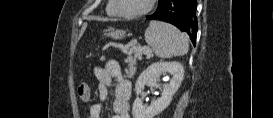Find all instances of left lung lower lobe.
<instances>
[{
	"label": "left lung lower lobe",
	"instance_id": "0a47b994",
	"mask_svg": "<svg viewBox=\"0 0 273 118\" xmlns=\"http://www.w3.org/2000/svg\"><path fill=\"white\" fill-rule=\"evenodd\" d=\"M196 0H161L156 12L147 19L168 22L180 30L185 31L196 44L197 17Z\"/></svg>",
	"mask_w": 273,
	"mask_h": 118
}]
</instances>
